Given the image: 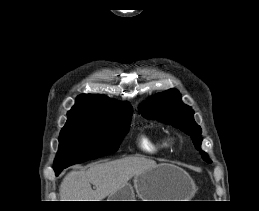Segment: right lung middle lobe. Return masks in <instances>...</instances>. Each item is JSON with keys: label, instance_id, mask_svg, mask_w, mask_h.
<instances>
[{"label": "right lung middle lobe", "instance_id": "obj_1", "mask_svg": "<svg viewBox=\"0 0 259 211\" xmlns=\"http://www.w3.org/2000/svg\"><path fill=\"white\" fill-rule=\"evenodd\" d=\"M131 116L68 115L60 132L59 150L54 160L55 172L117 151L128 131Z\"/></svg>", "mask_w": 259, "mask_h": 211}]
</instances>
